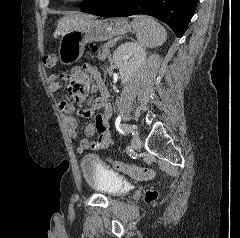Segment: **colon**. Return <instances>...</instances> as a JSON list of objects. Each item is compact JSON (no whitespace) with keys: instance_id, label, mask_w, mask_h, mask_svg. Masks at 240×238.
<instances>
[{"instance_id":"obj_1","label":"colon","mask_w":240,"mask_h":238,"mask_svg":"<svg viewBox=\"0 0 240 238\" xmlns=\"http://www.w3.org/2000/svg\"><path fill=\"white\" fill-rule=\"evenodd\" d=\"M95 49V46H92ZM43 65L46 68H53L56 65L57 57L55 54H46L44 55ZM112 165L115 169L129 175L132 178L139 179V180H148L153 177V170L146 167H140L135 165H129L118 161H113ZM157 198V193L155 191H148L146 193L147 201H153Z\"/></svg>"}]
</instances>
